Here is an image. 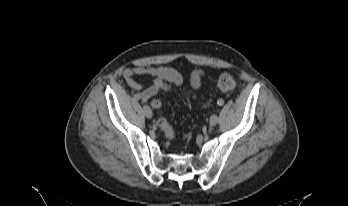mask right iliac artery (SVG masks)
Here are the masks:
<instances>
[{
    "mask_svg": "<svg viewBox=\"0 0 348 206\" xmlns=\"http://www.w3.org/2000/svg\"><path fill=\"white\" fill-rule=\"evenodd\" d=\"M135 99L139 100L140 99V95H135Z\"/></svg>",
    "mask_w": 348,
    "mask_h": 206,
    "instance_id": "1",
    "label": "right iliac artery"
}]
</instances>
